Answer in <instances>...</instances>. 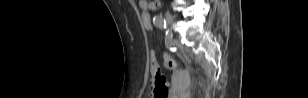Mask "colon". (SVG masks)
I'll list each match as a JSON object with an SVG mask.
<instances>
[{
  "mask_svg": "<svg viewBox=\"0 0 308 98\" xmlns=\"http://www.w3.org/2000/svg\"><path fill=\"white\" fill-rule=\"evenodd\" d=\"M151 11L149 9H141L140 15L143 16L144 31L150 32L155 29V26L150 21V15ZM163 62L168 69H176L178 66V63L175 58H173L171 55L165 54L163 56ZM151 73L153 75L152 79V89L155 98H166L168 97V82L165 78V76L161 73L160 66L157 62L156 57L154 54L151 55Z\"/></svg>",
  "mask_w": 308,
  "mask_h": 98,
  "instance_id": "1",
  "label": "colon"
}]
</instances>
